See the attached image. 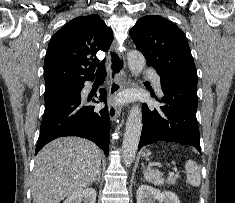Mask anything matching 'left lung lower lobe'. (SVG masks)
<instances>
[{"mask_svg":"<svg viewBox=\"0 0 235 203\" xmlns=\"http://www.w3.org/2000/svg\"><path fill=\"white\" fill-rule=\"evenodd\" d=\"M161 87L163 106L151 108L143 104L138 149L157 141H170L194 146L201 153L196 118L197 86L161 77Z\"/></svg>","mask_w":235,"mask_h":203,"instance_id":"1","label":"left lung lower lobe"}]
</instances>
